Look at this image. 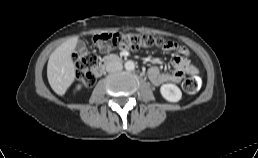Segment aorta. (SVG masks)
Listing matches in <instances>:
<instances>
[{
  "label": "aorta",
  "instance_id": "obj_1",
  "mask_svg": "<svg viewBox=\"0 0 258 158\" xmlns=\"http://www.w3.org/2000/svg\"><path fill=\"white\" fill-rule=\"evenodd\" d=\"M124 66H125V69L128 71H132L135 68V64L131 60L127 61Z\"/></svg>",
  "mask_w": 258,
  "mask_h": 158
}]
</instances>
